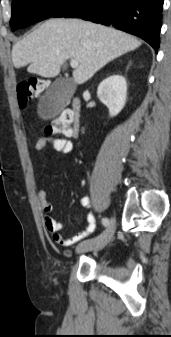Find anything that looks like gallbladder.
<instances>
[{
  "instance_id": "obj_1",
  "label": "gallbladder",
  "mask_w": 171,
  "mask_h": 337,
  "mask_svg": "<svg viewBox=\"0 0 171 337\" xmlns=\"http://www.w3.org/2000/svg\"><path fill=\"white\" fill-rule=\"evenodd\" d=\"M74 91L75 85L70 79H56L39 101L41 117L50 118L59 113L68 104Z\"/></svg>"
}]
</instances>
